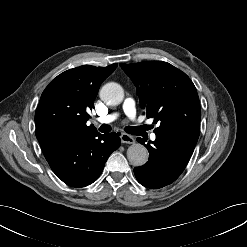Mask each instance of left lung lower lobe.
Listing matches in <instances>:
<instances>
[{"instance_id": "0a47b994", "label": "left lung lower lobe", "mask_w": 247, "mask_h": 247, "mask_svg": "<svg viewBox=\"0 0 247 247\" xmlns=\"http://www.w3.org/2000/svg\"><path fill=\"white\" fill-rule=\"evenodd\" d=\"M141 144L145 140L137 138ZM197 140L183 135H156L155 141L145 144L149 160L143 166L134 168L140 184L147 188L158 189L174 182L185 169Z\"/></svg>"}]
</instances>
